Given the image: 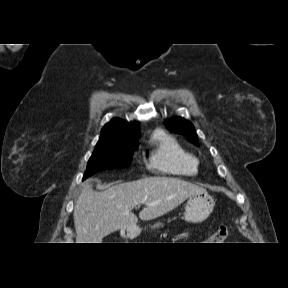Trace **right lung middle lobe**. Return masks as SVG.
I'll list each match as a JSON object with an SVG mask.
<instances>
[{
    "label": "right lung middle lobe",
    "mask_w": 288,
    "mask_h": 288,
    "mask_svg": "<svg viewBox=\"0 0 288 288\" xmlns=\"http://www.w3.org/2000/svg\"><path fill=\"white\" fill-rule=\"evenodd\" d=\"M136 148V140H129L123 137L98 141L88 161L83 179L100 170L127 167L131 163L132 154Z\"/></svg>",
    "instance_id": "right-lung-middle-lobe-1"
}]
</instances>
